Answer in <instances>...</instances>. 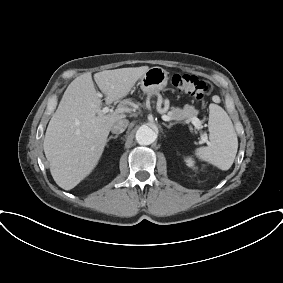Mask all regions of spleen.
<instances>
[{
    "instance_id": "obj_1",
    "label": "spleen",
    "mask_w": 283,
    "mask_h": 283,
    "mask_svg": "<svg viewBox=\"0 0 283 283\" xmlns=\"http://www.w3.org/2000/svg\"><path fill=\"white\" fill-rule=\"evenodd\" d=\"M208 146L195 150V156L226 171L232 166L238 149V139L233 123L226 111L217 104L209 105Z\"/></svg>"
}]
</instances>
